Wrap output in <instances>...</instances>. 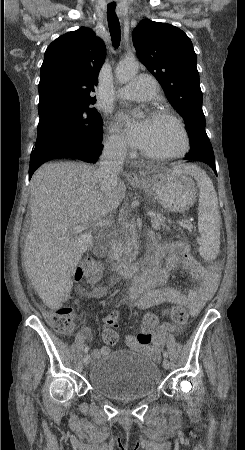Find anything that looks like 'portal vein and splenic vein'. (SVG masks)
I'll use <instances>...</instances> for the list:
<instances>
[{"label": "portal vein and splenic vein", "instance_id": "obj_1", "mask_svg": "<svg viewBox=\"0 0 245 450\" xmlns=\"http://www.w3.org/2000/svg\"><path fill=\"white\" fill-rule=\"evenodd\" d=\"M148 215H149V217L154 218L156 216V213L153 211H149ZM110 223H111L110 221H99L97 223H93L92 226L103 227L105 225H109ZM86 228H87L86 225L76 226L71 230V233L76 235V234L81 233Z\"/></svg>", "mask_w": 245, "mask_h": 450}]
</instances>
